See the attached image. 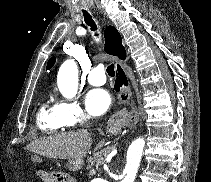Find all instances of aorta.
Segmentation results:
<instances>
[{"label":"aorta","instance_id":"aorta-1","mask_svg":"<svg viewBox=\"0 0 211 182\" xmlns=\"http://www.w3.org/2000/svg\"><path fill=\"white\" fill-rule=\"evenodd\" d=\"M57 85L60 93L67 99H72L78 89V68L74 60L65 61L57 75ZM145 141L143 138L135 139L127 151L125 166L126 176L121 182H134L140 165Z\"/></svg>","mask_w":211,"mask_h":182}]
</instances>
